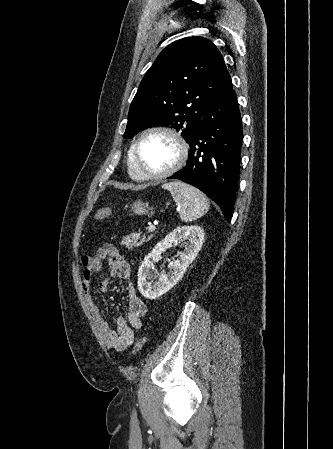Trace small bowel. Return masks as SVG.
<instances>
[{"label":"small bowel","instance_id":"small-bowel-1","mask_svg":"<svg viewBox=\"0 0 333 449\" xmlns=\"http://www.w3.org/2000/svg\"><path fill=\"white\" fill-rule=\"evenodd\" d=\"M108 261L110 276L103 278L98 288L101 292H107L113 282L117 279H129L131 276L130 266L119 253L118 249L111 243L103 245L93 256H83L82 264V290L85 294L86 302L90 308L94 323L104 342L109 348L117 351H124L135 341V330L142 327V321L147 314V306L136 294L132 285L128 287V318L119 317L116 320V327L112 328L103 317L99 307L94 302L91 285L93 276L98 273L103 266V261Z\"/></svg>","mask_w":333,"mask_h":449}]
</instances>
